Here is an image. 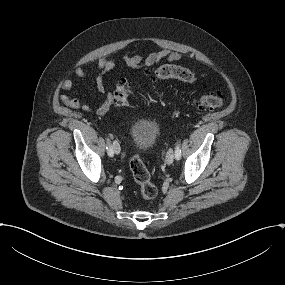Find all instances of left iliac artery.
Wrapping results in <instances>:
<instances>
[{
	"instance_id": "44dca946",
	"label": "left iliac artery",
	"mask_w": 285,
	"mask_h": 285,
	"mask_svg": "<svg viewBox=\"0 0 285 285\" xmlns=\"http://www.w3.org/2000/svg\"><path fill=\"white\" fill-rule=\"evenodd\" d=\"M175 157L177 160H179V158H177V157H181V149H180L179 142H177V144H176Z\"/></svg>"
}]
</instances>
